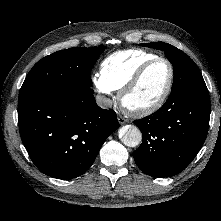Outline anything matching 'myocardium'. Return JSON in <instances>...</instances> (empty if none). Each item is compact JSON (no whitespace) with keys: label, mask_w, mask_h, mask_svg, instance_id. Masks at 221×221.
I'll return each instance as SVG.
<instances>
[{"label":"myocardium","mask_w":221,"mask_h":221,"mask_svg":"<svg viewBox=\"0 0 221 221\" xmlns=\"http://www.w3.org/2000/svg\"><path fill=\"white\" fill-rule=\"evenodd\" d=\"M158 62H164L169 67V79H168V83L164 91L162 92V94L156 101H154L153 103L147 106L138 107V108L128 107L125 104L126 96L138 85V83L140 82L142 77L145 75V73L149 70V68ZM174 79H175V71H174L173 64L167 58H164V57L153 58L145 62L142 66H140L136 70V72L132 75V77L126 82V84L120 89L119 96H118L119 103L126 112H128L129 114L133 116L142 117V116L152 114L158 109H160L165 103V101L167 100L173 88Z\"/></svg>","instance_id":"myocardium-1"}]
</instances>
